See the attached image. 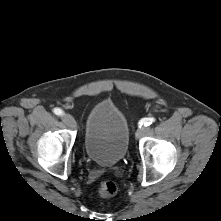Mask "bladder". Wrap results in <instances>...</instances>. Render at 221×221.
<instances>
[{
    "label": "bladder",
    "instance_id": "obj_1",
    "mask_svg": "<svg viewBox=\"0 0 221 221\" xmlns=\"http://www.w3.org/2000/svg\"><path fill=\"white\" fill-rule=\"evenodd\" d=\"M130 128L126 116L111 100L97 102L89 110L84 133L86 156L102 167L117 164L128 150Z\"/></svg>",
    "mask_w": 221,
    "mask_h": 221
}]
</instances>
